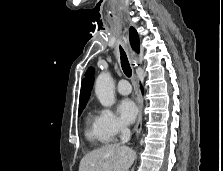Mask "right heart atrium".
<instances>
[{
	"mask_svg": "<svg viewBox=\"0 0 223 171\" xmlns=\"http://www.w3.org/2000/svg\"><path fill=\"white\" fill-rule=\"evenodd\" d=\"M97 119L99 130L107 141L114 140L127 129L125 124L110 109H100Z\"/></svg>",
	"mask_w": 223,
	"mask_h": 171,
	"instance_id": "obj_1",
	"label": "right heart atrium"
}]
</instances>
